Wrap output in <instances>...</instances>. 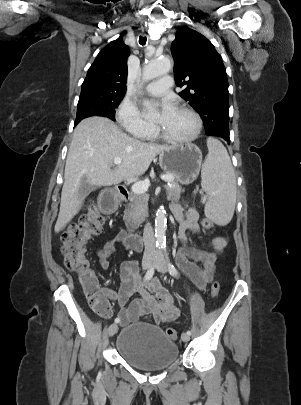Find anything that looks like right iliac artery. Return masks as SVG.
Wrapping results in <instances>:
<instances>
[{"mask_svg":"<svg viewBox=\"0 0 301 405\" xmlns=\"http://www.w3.org/2000/svg\"><path fill=\"white\" fill-rule=\"evenodd\" d=\"M153 274H154V267H151V268L147 271V273L145 274L144 280H145V281L150 280V279L152 278ZM114 321H115V323H119V322H120V319H119V318H116Z\"/></svg>","mask_w":301,"mask_h":405,"instance_id":"right-iliac-artery-1","label":"right iliac artery"}]
</instances>
